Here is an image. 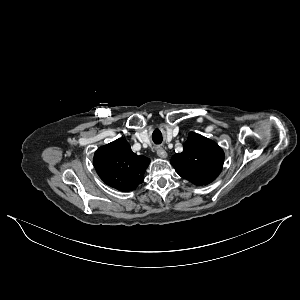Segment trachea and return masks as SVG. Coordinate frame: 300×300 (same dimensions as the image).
Masks as SVG:
<instances>
[{"label": "trachea", "mask_w": 300, "mask_h": 300, "mask_svg": "<svg viewBox=\"0 0 300 300\" xmlns=\"http://www.w3.org/2000/svg\"><path fill=\"white\" fill-rule=\"evenodd\" d=\"M152 140L155 144H161L163 141L162 134L159 130H155L152 134Z\"/></svg>", "instance_id": "trachea-1"}]
</instances>
